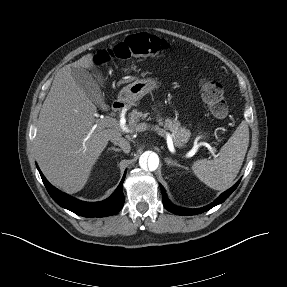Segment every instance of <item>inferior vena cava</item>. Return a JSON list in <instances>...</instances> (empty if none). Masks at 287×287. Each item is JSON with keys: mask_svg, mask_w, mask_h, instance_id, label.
Wrapping results in <instances>:
<instances>
[{"mask_svg": "<svg viewBox=\"0 0 287 287\" xmlns=\"http://www.w3.org/2000/svg\"><path fill=\"white\" fill-rule=\"evenodd\" d=\"M111 142L115 145H118L123 150V152L125 153L130 152L131 147H130L129 142L126 139L122 137H112Z\"/></svg>", "mask_w": 287, "mask_h": 287, "instance_id": "602c4592", "label": "inferior vena cava"}]
</instances>
